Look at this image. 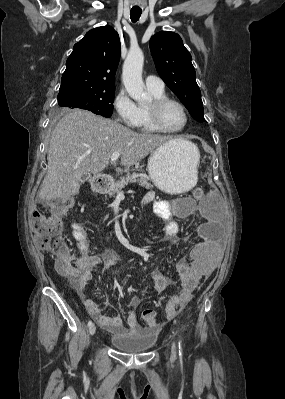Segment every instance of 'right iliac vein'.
<instances>
[{"mask_svg": "<svg viewBox=\"0 0 285 399\" xmlns=\"http://www.w3.org/2000/svg\"><path fill=\"white\" fill-rule=\"evenodd\" d=\"M89 333L91 336H94V334L96 333V326L95 324H92L91 327L89 328Z\"/></svg>", "mask_w": 285, "mask_h": 399, "instance_id": "1", "label": "right iliac vein"}]
</instances>
